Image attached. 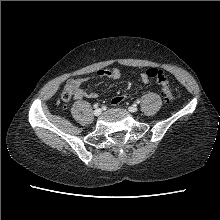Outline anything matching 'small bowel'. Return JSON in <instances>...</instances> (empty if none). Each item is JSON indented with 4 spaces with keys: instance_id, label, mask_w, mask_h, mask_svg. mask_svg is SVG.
<instances>
[{
    "instance_id": "c3829d8e",
    "label": "small bowel",
    "mask_w": 220,
    "mask_h": 220,
    "mask_svg": "<svg viewBox=\"0 0 220 220\" xmlns=\"http://www.w3.org/2000/svg\"><path fill=\"white\" fill-rule=\"evenodd\" d=\"M99 77H106L109 79H119L121 77V71L117 68L110 69V70H99L97 72ZM141 79L143 83H147L149 78L146 77L145 73L141 75ZM88 81L86 77H79V78H72L69 79L67 82V87L71 89L76 99H82L84 97L88 98H96L97 94L93 91H86L83 89V85ZM125 99L124 95H117L112 99V104L118 105L123 102Z\"/></svg>"
}]
</instances>
